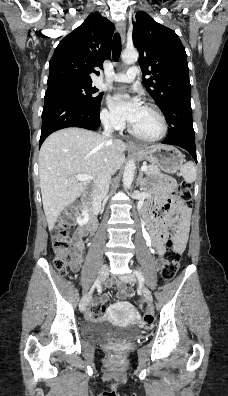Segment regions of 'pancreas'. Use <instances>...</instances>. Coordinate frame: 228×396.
<instances>
[{
	"mask_svg": "<svg viewBox=\"0 0 228 396\" xmlns=\"http://www.w3.org/2000/svg\"><path fill=\"white\" fill-rule=\"evenodd\" d=\"M145 174L148 176H150V175L158 176L161 174V171L156 165L150 164L147 166V170L145 171Z\"/></svg>",
	"mask_w": 228,
	"mask_h": 396,
	"instance_id": "1",
	"label": "pancreas"
}]
</instances>
